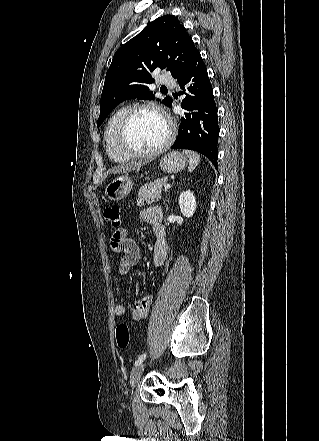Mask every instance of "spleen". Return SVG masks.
<instances>
[{
    "label": "spleen",
    "mask_w": 319,
    "mask_h": 441,
    "mask_svg": "<svg viewBox=\"0 0 319 441\" xmlns=\"http://www.w3.org/2000/svg\"><path fill=\"white\" fill-rule=\"evenodd\" d=\"M184 153L188 156L189 158V167L188 170L190 172H192L193 170H195V168L198 166L199 162H200V155L194 151H190V150H184Z\"/></svg>",
    "instance_id": "1"
}]
</instances>
